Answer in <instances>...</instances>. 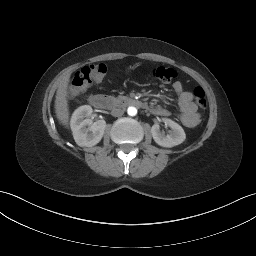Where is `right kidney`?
Listing matches in <instances>:
<instances>
[{"label":"right kidney","instance_id":"1","mask_svg":"<svg viewBox=\"0 0 256 256\" xmlns=\"http://www.w3.org/2000/svg\"><path fill=\"white\" fill-rule=\"evenodd\" d=\"M92 112L91 106L83 105L72 114L70 126L74 140L80 147H92L99 143L104 135L106 122L98 120L93 123L90 119Z\"/></svg>","mask_w":256,"mask_h":256}]
</instances>
